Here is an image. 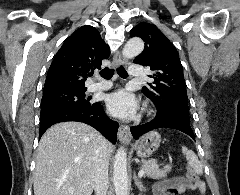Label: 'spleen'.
Returning <instances> with one entry per match:
<instances>
[{
	"mask_svg": "<svg viewBox=\"0 0 240 195\" xmlns=\"http://www.w3.org/2000/svg\"><path fill=\"white\" fill-rule=\"evenodd\" d=\"M182 153L186 155L187 161H189L191 167H193L195 173H198V175H201L203 173V167L201 161H199L196 153L192 151V149H188L186 145H182Z\"/></svg>",
	"mask_w": 240,
	"mask_h": 195,
	"instance_id": "1",
	"label": "spleen"
}]
</instances>
